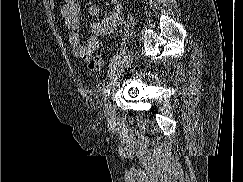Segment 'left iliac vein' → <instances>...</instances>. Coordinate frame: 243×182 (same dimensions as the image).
<instances>
[{
    "label": "left iliac vein",
    "instance_id": "left-iliac-vein-1",
    "mask_svg": "<svg viewBox=\"0 0 243 182\" xmlns=\"http://www.w3.org/2000/svg\"><path fill=\"white\" fill-rule=\"evenodd\" d=\"M133 58H131L132 61ZM105 116L109 124H113L115 120V111L110 104L108 97L105 99Z\"/></svg>",
    "mask_w": 243,
    "mask_h": 182
}]
</instances>
